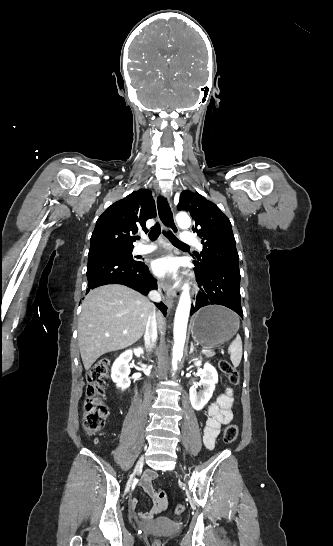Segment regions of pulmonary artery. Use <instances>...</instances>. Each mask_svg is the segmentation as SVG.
I'll list each match as a JSON object with an SVG mask.
<instances>
[{
	"label": "pulmonary artery",
	"mask_w": 333,
	"mask_h": 546,
	"mask_svg": "<svg viewBox=\"0 0 333 546\" xmlns=\"http://www.w3.org/2000/svg\"><path fill=\"white\" fill-rule=\"evenodd\" d=\"M180 238H181L182 243H184V244H195L199 248L201 247V244H200L199 240L197 239V237L195 236V234H193V233H191L189 231L182 232ZM155 249H156V247L154 245H152V244H138L134 248V252L136 254H148V253L153 252Z\"/></svg>",
	"instance_id": "1"
}]
</instances>
